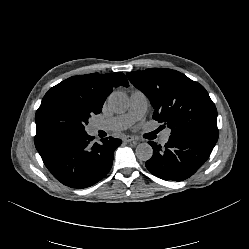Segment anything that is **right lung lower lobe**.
Wrapping results in <instances>:
<instances>
[{
    "label": "right lung lower lobe",
    "instance_id": "1",
    "mask_svg": "<svg viewBox=\"0 0 249 249\" xmlns=\"http://www.w3.org/2000/svg\"><path fill=\"white\" fill-rule=\"evenodd\" d=\"M87 133L49 139L36 146L53 176L66 186L86 188L110 171L115 149L121 140L104 138L94 143Z\"/></svg>",
    "mask_w": 249,
    "mask_h": 249
}]
</instances>
